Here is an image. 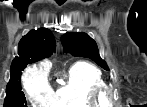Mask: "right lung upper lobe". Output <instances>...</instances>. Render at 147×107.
Here are the masks:
<instances>
[{
  "mask_svg": "<svg viewBox=\"0 0 147 107\" xmlns=\"http://www.w3.org/2000/svg\"><path fill=\"white\" fill-rule=\"evenodd\" d=\"M55 48V39L50 30H31L19 42L18 56L14 58L10 68L11 76L13 77L21 67L51 56Z\"/></svg>",
  "mask_w": 147,
  "mask_h": 107,
  "instance_id": "right-lung-upper-lobe-1",
  "label": "right lung upper lobe"
}]
</instances>
